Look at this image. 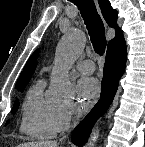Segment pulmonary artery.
<instances>
[{"label":"pulmonary artery","mask_w":145,"mask_h":147,"mask_svg":"<svg viewBox=\"0 0 145 147\" xmlns=\"http://www.w3.org/2000/svg\"><path fill=\"white\" fill-rule=\"evenodd\" d=\"M75 67L83 74H92L95 71L94 63L90 60L79 61Z\"/></svg>","instance_id":"obj_1"}]
</instances>
